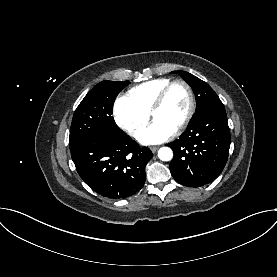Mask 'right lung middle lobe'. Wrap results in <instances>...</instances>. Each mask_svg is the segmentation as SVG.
Segmentation results:
<instances>
[{
	"mask_svg": "<svg viewBox=\"0 0 277 277\" xmlns=\"http://www.w3.org/2000/svg\"><path fill=\"white\" fill-rule=\"evenodd\" d=\"M128 84H130L129 81H102L87 93L72 119L69 136L70 149L96 135L121 136L126 134L116 125L111 115L118 93Z\"/></svg>",
	"mask_w": 277,
	"mask_h": 277,
	"instance_id": "obj_1",
	"label": "right lung middle lobe"
}]
</instances>
